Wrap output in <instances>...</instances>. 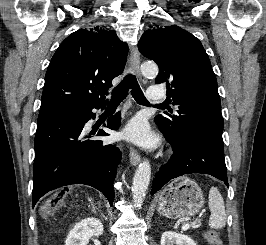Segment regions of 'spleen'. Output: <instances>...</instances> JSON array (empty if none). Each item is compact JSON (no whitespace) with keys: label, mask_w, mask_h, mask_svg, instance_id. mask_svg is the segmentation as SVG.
Segmentation results:
<instances>
[{"label":"spleen","mask_w":266,"mask_h":245,"mask_svg":"<svg viewBox=\"0 0 266 245\" xmlns=\"http://www.w3.org/2000/svg\"><path fill=\"white\" fill-rule=\"evenodd\" d=\"M208 201L209 209L211 211L209 217L210 229H223L226 225V211L224 201L217 187H211Z\"/></svg>","instance_id":"3e777b00"}]
</instances>
